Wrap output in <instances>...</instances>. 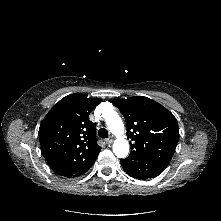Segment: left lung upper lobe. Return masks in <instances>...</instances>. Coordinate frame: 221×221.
Masks as SVG:
<instances>
[{
	"instance_id": "5c2ea615",
	"label": "left lung upper lobe",
	"mask_w": 221,
	"mask_h": 221,
	"mask_svg": "<svg viewBox=\"0 0 221 221\" xmlns=\"http://www.w3.org/2000/svg\"><path fill=\"white\" fill-rule=\"evenodd\" d=\"M113 103L126 120L131 146L127 158L169 164L179 140L175 116L156 101L143 96L115 99Z\"/></svg>"
}]
</instances>
